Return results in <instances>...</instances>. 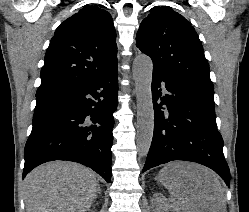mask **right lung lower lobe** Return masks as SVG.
<instances>
[{"label": "right lung lower lobe", "mask_w": 249, "mask_h": 212, "mask_svg": "<svg viewBox=\"0 0 249 212\" xmlns=\"http://www.w3.org/2000/svg\"><path fill=\"white\" fill-rule=\"evenodd\" d=\"M117 66L90 81L36 95L23 178L53 160L81 163L111 182Z\"/></svg>", "instance_id": "obj_1"}]
</instances>
